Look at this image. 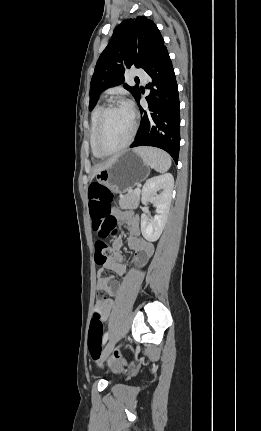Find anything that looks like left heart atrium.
I'll list each match as a JSON object with an SVG mask.
<instances>
[{
    "label": "left heart atrium",
    "mask_w": 261,
    "mask_h": 431,
    "mask_svg": "<svg viewBox=\"0 0 261 431\" xmlns=\"http://www.w3.org/2000/svg\"><path fill=\"white\" fill-rule=\"evenodd\" d=\"M126 106H127V108H131V106L129 104H127Z\"/></svg>",
    "instance_id": "obj_1"
}]
</instances>
